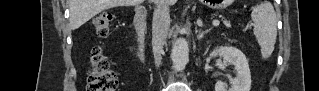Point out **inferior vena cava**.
Instances as JSON below:
<instances>
[{"instance_id": "obj_1", "label": "inferior vena cava", "mask_w": 319, "mask_h": 91, "mask_svg": "<svg viewBox=\"0 0 319 91\" xmlns=\"http://www.w3.org/2000/svg\"><path fill=\"white\" fill-rule=\"evenodd\" d=\"M157 8L153 14L152 48L155 65L161 63V53L170 27L169 5L165 0H156Z\"/></svg>"}]
</instances>
